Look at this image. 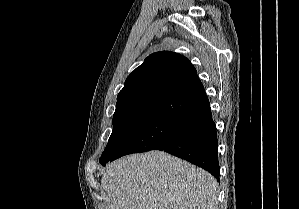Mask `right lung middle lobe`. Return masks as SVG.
Here are the masks:
<instances>
[{"mask_svg": "<svg viewBox=\"0 0 299 209\" xmlns=\"http://www.w3.org/2000/svg\"><path fill=\"white\" fill-rule=\"evenodd\" d=\"M160 103L141 102L116 107L113 131L99 162L104 164L115 157L139 132Z\"/></svg>", "mask_w": 299, "mask_h": 209, "instance_id": "obj_1", "label": "right lung middle lobe"}]
</instances>
